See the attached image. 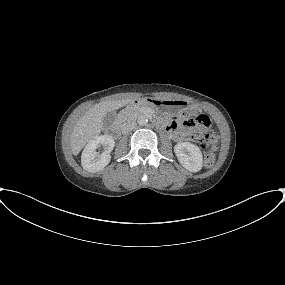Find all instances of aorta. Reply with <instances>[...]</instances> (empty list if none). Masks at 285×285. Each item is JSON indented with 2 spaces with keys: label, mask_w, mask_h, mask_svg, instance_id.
I'll list each match as a JSON object with an SVG mask.
<instances>
[{
  "label": "aorta",
  "mask_w": 285,
  "mask_h": 285,
  "mask_svg": "<svg viewBox=\"0 0 285 285\" xmlns=\"http://www.w3.org/2000/svg\"><path fill=\"white\" fill-rule=\"evenodd\" d=\"M138 124L143 126L146 125L148 122V119L145 116H140L137 120Z\"/></svg>",
  "instance_id": "aorta-1"
}]
</instances>
